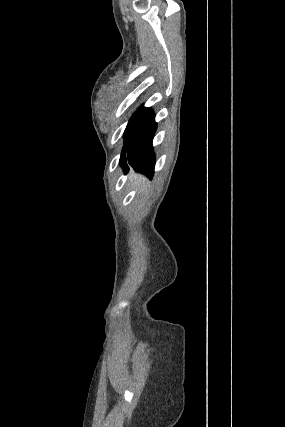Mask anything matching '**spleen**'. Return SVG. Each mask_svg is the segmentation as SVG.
Wrapping results in <instances>:
<instances>
[{"mask_svg":"<svg viewBox=\"0 0 285 427\" xmlns=\"http://www.w3.org/2000/svg\"><path fill=\"white\" fill-rule=\"evenodd\" d=\"M134 186L141 185V190H144L147 186L146 179L138 174H133Z\"/></svg>","mask_w":285,"mask_h":427,"instance_id":"obj_1","label":"spleen"}]
</instances>
